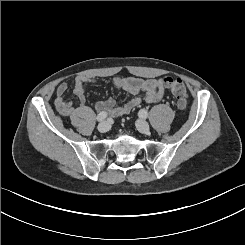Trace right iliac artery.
<instances>
[{
    "instance_id": "1",
    "label": "right iliac artery",
    "mask_w": 245,
    "mask_h": 245,
    "mask_svg": "<svg viewBox=\"0 0 245 245\" xmlns=\"http://www.w3.org/2000/svg\"><path fill=\"white\" fill-rule=\"evenodd\" d=\"M107 118V113L102 111L97 115V121L102 122Z\"/></svg>"
}]
</instances>
